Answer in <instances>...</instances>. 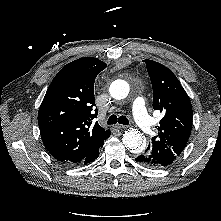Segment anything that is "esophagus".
<instances>
[{
	"label": "esophagus",
	"instance_id": "esophagus-1",
	"mask_svg": "<svg viewBox=\"0 0 221 221\" xmlns=\"http://www.w3.org/2000/svg\"><path fill=\"white\" fill-rule=\"evenodd\" d=\"M115 127H116L117 129H125V128H127L126 125H122V124H116Z\"/></svg>",
	"mask_w": 221,
	"mask_h": 221
}]
</instances>
